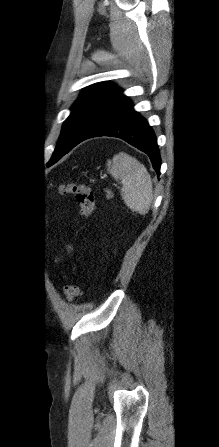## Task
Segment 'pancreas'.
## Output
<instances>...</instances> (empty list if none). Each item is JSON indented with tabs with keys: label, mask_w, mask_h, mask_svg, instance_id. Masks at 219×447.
Wrapping results in <instances>:
<instances>
[{
	"label": "pancreas",
	"mask_w": 219,
	"mask_h": 447,
	"mask_svg": "<svg viewBox=\"0 0 219 447\" xmlns=\"http://www.w3.org/2000/svg\"><path fill=\"white\" fill-rule=\"evenodd\" d=\"M106 193H107V195H106L107 199H110L113 197V193L110 190H106Z\"/></svg>",
	"instance_id": "obj_1"
}]
</instances>
